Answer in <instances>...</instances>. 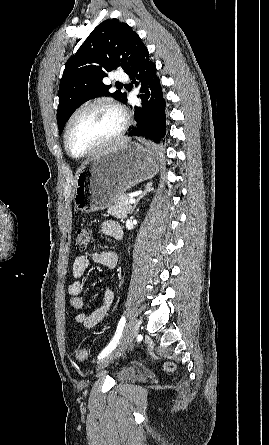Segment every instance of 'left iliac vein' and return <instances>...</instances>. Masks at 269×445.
<instances>
[{
  "label": "left iliac vein",
  "instance_id": "left-iliac-vein-1",
  "mask_svg": "<svg viewBox=\"0 0 269 445\" xmlns=\"http://www.w3.org/2000/svg\"><path fill=\"white\" fill-rule=\"evenodd\" d=\"M139 321L136 318H132L127 326L125 327V330L123 332V335L118 342V345L114 349L112 353H110L102 362L100 363L98 369H102L105 366H107L110 362L115 360L118 356L121 355V353L127 348V346L133 341V339L137 336L138 330H139Z\"/></svg>",
  "mask_w": 269,
  "mask_h": 445
}]
</instances>
